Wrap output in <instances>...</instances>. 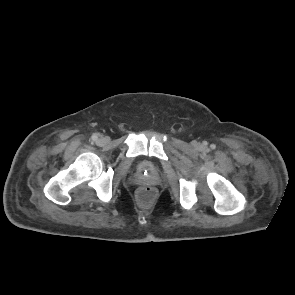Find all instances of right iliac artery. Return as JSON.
<instances>
[{"label": "right iliac artery", "mask_w": 295, "mask_h": 295, "mask_svg": "<svg viewBox=\"0 0 295 295\" xmlns=\"http://www.w3.org/2000/svg\"><path fill=\"white\" fill-rule=\"evenodd\" d=\"M91 138L93 141H96L98 139V136L96 134H93Z\"/></svg>", "instance_id": "obj_1"}]
</instances>
